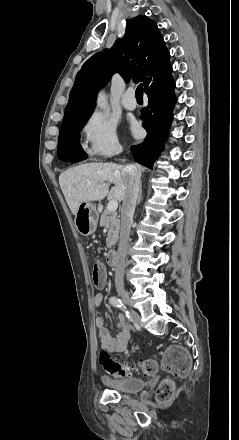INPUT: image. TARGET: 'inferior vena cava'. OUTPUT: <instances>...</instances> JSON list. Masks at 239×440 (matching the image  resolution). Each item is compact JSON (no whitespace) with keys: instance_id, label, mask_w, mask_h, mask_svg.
I'll list each match as a JSON object with an SVG mask.
<instances>
[{"instance_id":"inferior-vena-cava-1","label":"inferior vena cava","mask_w":239,"mask_h":440,"mask_svg":"<svg viewBox=\"0 0 239 440\" xmlns=\"http://www.w3.org/2000/svg\"><path fill=\"white\" fill-rule=\"evenodd\" d=\"M126 174V196L122 204L120 238L115 266V286L117 292H124V266L128 248L131 224L135 212L136 200L139 192V176L135 166L123 168ZM125 304V300H120Z\"/></svg>"}]
</instances>
